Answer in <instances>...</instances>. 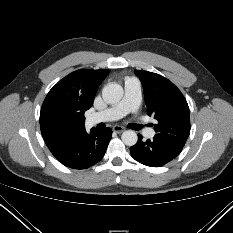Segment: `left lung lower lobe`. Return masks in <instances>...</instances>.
Instances as JSON below:
<instances>
[{
	"label": "left lung lower lobe",
	"mask_w": 233,
	"mask_h": 233,
	"mask_svg": "<svg viewBox=\"0 0 233 233\" xmlns=\"http://www.w3.org/2000/svg\"><path fill=\"white\" fill-rule=\"evenodd\" d=\"M181 150L182 147L156 138L143 141L142 136L138 134V141L130 148V154L136 161L146 166L161 167L173 160Z\"/></svg>",
	"instance_id": "1"
}]
</instances>
